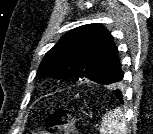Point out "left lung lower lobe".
Segmentation results:
<instances>
[{"label":"left lung lower lobe","mask_w":153,"mask_h":134,"mask_svg":"<svg viewBox=\"0 0 153 134\" xmlns=\"http://www.w3.org/2000/svg\"><path fill=\"white\" fill-rule=\"evenodd\" d=\"M121 78L123 79V73L121 74ZM112 93L121 101L123 102L122 99V92L118 89L112 90Z\"/></svg>","instance_id":"1"}]
</instances>
